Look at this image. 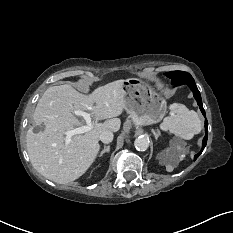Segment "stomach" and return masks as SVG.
Masks as SVG:
<instances>
[{
    "label": "stomach",
    "instance_id": "obj_1",
    "mask_svg": "<svg viewBox=\"0 0 233 233\" xmlns=\"http://www.w3.org/2000/svg\"><path fill=\"white\" fill-rule=\"evenodd\" d=\"M125 110L136 125L159 122L167 105L163 94L148 81L132 77L123 80Z\"/></svg>",
    "mask_w": 233,
    "mask_h": 233
}]
</instances>
